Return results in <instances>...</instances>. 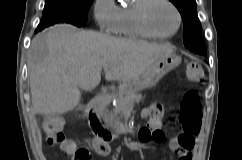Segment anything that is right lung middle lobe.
<instances>
[{"label":"right lung middle lobe","mask_w":242,"mask_h":160,"mask_svg":"<svg viewBox=\"0 0 242 160\" xmlns=\"http://www.w3.org/2000/svg\"><path fill=\"white\" fill-rule=\"evenodd\" d=\"M93 0H46L42 20L36 33L56 23L86 25V15Z\"/></svg>","instance_id":"right-lung-middle-lobe-1"}]
</instances>
